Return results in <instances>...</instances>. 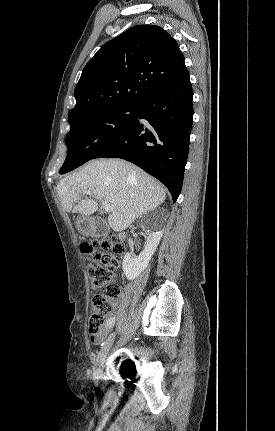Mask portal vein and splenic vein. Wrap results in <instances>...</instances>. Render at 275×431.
I'll return each mask as SVG.
<instances>
[{
  "label": "portal vein and splenic vein",
  "mask_w": 275,
  "mask_h": 431,
  "mask_svg": "<svg viewBox=\"0 0 275 431\" xmlns=\"http://www.w3.org/2000/svg\"><path fill=\"white\" fill-rule=\"evenodd\" d=\"M83 195H92V192L89 190L83 191L81 192ZM102 208L106 211V212H112L113 211V207L110 203L102 201Z\"/></svg>",
  "instance_id": "1"
}]
</instances>
